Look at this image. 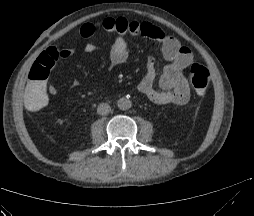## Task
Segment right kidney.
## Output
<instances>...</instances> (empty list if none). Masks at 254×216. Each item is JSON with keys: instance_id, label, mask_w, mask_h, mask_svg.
Here are the masks:
<instances>
[{"instance_id": "right-kidney-1", "label": "right kidney", "mask_w": 254, "mask_h": 216, "mask_svg": "<svg viewBox=\"0 0 254 216\" xmlns=\"http://www.w3.org/2000/svg\"><path fill=\"white\" fill-rule=\"evenodd\" d=\"M56 123H57L58 125H62V124H63V120L59 118V119H57Z\"/></svg>"}]
</instances>
